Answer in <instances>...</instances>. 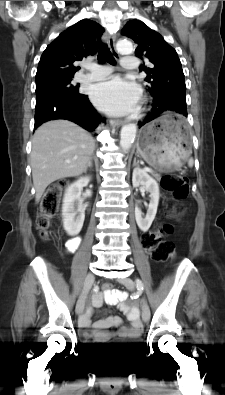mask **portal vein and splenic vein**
Wrapping results in <instances>:
<instances>
[{
	"mask_svg": "<svg viewBox=\"0 0 225 395\" xmlns=\"http://www.w3.org/2000/svg\"><path fill=\"white\" fill-rule=\"evenodd\" d=\"M144 170L148 171V172H153V170L151 168H149V167H145Z\"/></svg>",
	"mask_w": 225,
	"mask_h": 395,
	"instance_id": "obj_1",
	"label": "portal vein and splenic vein"
}]
</instances>
